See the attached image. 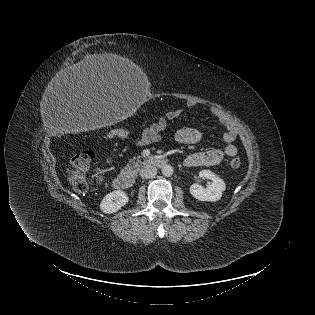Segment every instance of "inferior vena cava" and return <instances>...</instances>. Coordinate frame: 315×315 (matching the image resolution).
Segmentation results:
<instances>
[{"label":"inferior vena cava","instance_id":"inferior-vena-cava-1","mask_svg":"<svg viewBox=\"0 0 315 315\" xmlns=\"http://www.w3.org/2000/svg\"><path fill=\"white\" fill-rule=\"evenodd\" d=\"M157 174V169L153 165L146 164L140 171L142 178H153Z\"/></svg>","mask_w":315,"mask_h":315}]
</instances>
